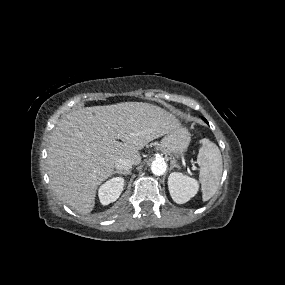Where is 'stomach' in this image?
<instances>
[{
    "label": "stomach",
    "instance_id": "obj_1",
    "mask_svg": "<svg viewBox=\"0 0 285 285\" xmlns=\"http://www.w3.org/2000/svg\"><path fill=\"white\" fill-rule=\"evenodd\" d=\"M191 135L185 127H177L161 140L160 148L175 157L183 155L190 143Z\"/></svg>",
    "mask_w": 285,
    "mask_h": 285
}]
</instances>
